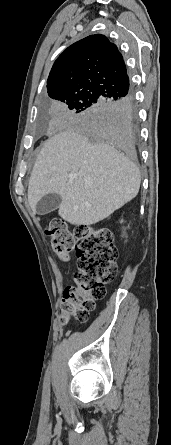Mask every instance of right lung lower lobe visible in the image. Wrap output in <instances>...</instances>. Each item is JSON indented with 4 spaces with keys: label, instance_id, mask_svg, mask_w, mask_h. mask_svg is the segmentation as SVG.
Returning <instances> with one entry per match:
<instances>
[{
    "label": "right lung lower lobe",
    "instance_id": "1",
    "mask_svg": "<svg viewBox=\"0 0 171 445\" xmlns=\"http://www.w3.org/2000/svg\"><path fill=\"white\" fill-rule=\"evenodd\" d=\"M100 140L114 144L135 155L136 126L132 95L124 99H108L95 115Z\"/></svg>",
    "mask_w": 171,
    "mask_h": 445
}]
</instances>
